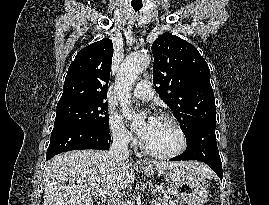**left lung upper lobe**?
Returning a JSON list of instances; mask_svg holds the SVG:
<instances>
[{
	"mask_svg": "<svg viewBox=\"0 0 269 205\" xmlns=\"http://www.w3.org/2000/svg\"><path fill=\"white\" fill-rule=\"evenodd\" d=\"M153 83L172 109L186 137L203 123H216L210 70L199 51L165 32L152 45Z\"/></svg>",
	"mask_w": 269,
	"mask_h": 205,
	"instance_id": "1",
	"label": "left lung upper lobe"
}]
</instances>
